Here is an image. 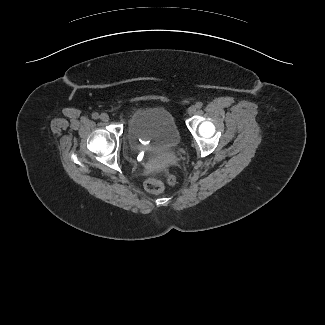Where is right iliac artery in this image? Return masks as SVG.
Returning <instances> with one entry per match:
<instances>
[{"mask_svg": "<svg viewBox=\"0 0 325 325\" xmlns=\"http://www.w3.org/2000/svg\"><path fill=\"white\" fill-rule=\"evenodd\" d=\"M92 118L93 119H98L99 118V114L98 113H93L92 114Z\"/></svg>", "mask_w": 325, "mask_h": 325, "instance_id": "1", "label": "right iliac artery"}]
</instances>
